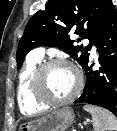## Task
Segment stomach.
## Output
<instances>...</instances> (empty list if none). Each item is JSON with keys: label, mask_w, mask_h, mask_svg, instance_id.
Returning <instances> with one entry per match:
<instances>
[{"label": "stomach", "mask_w": 117, "mask_h": 131, "mask_svg": "<svg viewBox=\"0 0 117 131\" xmlns=\"http://www.w3.org/2000/svg\"><path fill=\"white\" fill-rule=\"evenodd\" d=\"M73 120V111L65 107L40 119L20 124L19 131H65L73 123Z\"/></svg>", "instance_id": "obj_1"}]
</instances>
